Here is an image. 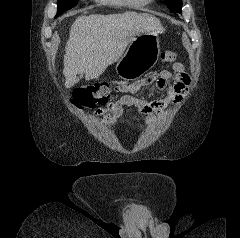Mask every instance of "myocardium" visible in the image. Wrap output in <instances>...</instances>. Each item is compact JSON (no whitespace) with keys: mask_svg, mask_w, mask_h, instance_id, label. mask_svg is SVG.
Instances as JSON below:
<instances>
[{"mask_svg":"<svg viewBox=\"0 0 240 238\" xmlns=\"http://www.w3.org/2000/svg\"><path fill=\"white\" fill-rule=\"evenodd\" d=\"M128 4H130V5H133L134 4V0H125ZM152 1H154V0H144V3L145 4H148V3H150V2H152Z\"/></svg>","mask_w":240,"mask_h":238,"instance_id":"myocardium-1","label":"myocardium"}]
</instances>
